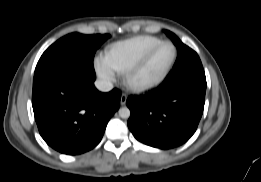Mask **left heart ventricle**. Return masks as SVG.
Segmentation results:
<instances>
[{
    "label": "left heart ventricle",
    "instance_id": "obj_1",
    "mask_svg": "<svg viewBox=\"0 0 261 182\" xmlns=\"http://www.w3.org/2000/svg\"><path fill=\"white\" fill-rule=\"evenodd\" d=\"M173 58L171 46H161L148 60L145 66L135 75L134 81L146 83L159 77Z\"/></svg>",
    "mask_w": 261,
    "mask_h": 182
}]
</instances>
